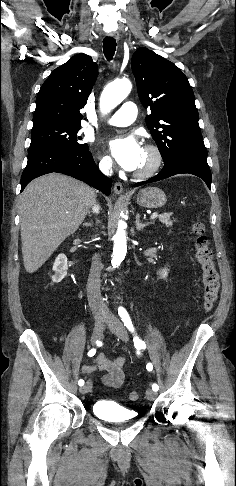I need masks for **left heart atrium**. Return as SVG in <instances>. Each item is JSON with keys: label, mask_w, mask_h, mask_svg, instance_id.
<instances>
[{"label": "left heart atrium", "mask_w": 236, "mask_h": 486, "mask_svg": "<svg viewBox=\"0 0 236 486\" xmlns=\"http://www.w3.org/2000/svg\"><path fill=\"white\" fill-rule=\"evenodd\" d=\"M109 149L117 163L125 170H136L142 157L143 149L134 136L113 139Z\"/></svg>", "instance_id": "left-heart-atrium-1"}]
</instances>
